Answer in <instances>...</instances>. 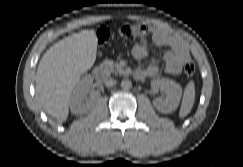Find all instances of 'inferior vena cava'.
<instances>
[{
  "label": "inferior vena cava",
  "instance_id": "602c4592",
  "mask_svg": "<svg viewBox=\"0 0 243 167\" xmlns=\"http://www.w3.org/2000/svg\"><path fill=\"white\" fill-rule=\"evenodd\" d=\"M115 84H116V80H115V79H112V78L108 79V80L105 82V85H106L107 87H112V86L115 85Z\"/></svg>",
  "mask_w": 243,
  "mask_h": 167
}]
</instances>
